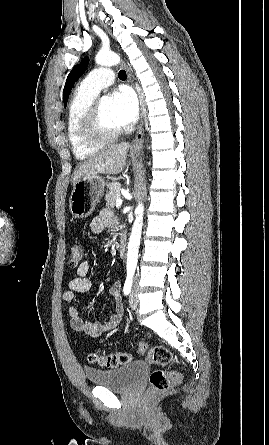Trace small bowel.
Instances as JSON below:
<instances>
[{
	"label": "small bowel",
	"mask_w": 269,
	"mask_h": 445,
	"mask_svg": "<svg viewBox=\"0 0 269 445\" xmlns=\"http://www.w3.org/2000/svg\"><path fill=\"white\" fill-rule=\"evenodd\" d=\"M114 223L115 219L112 211L103 209L92 219L90 229L94 233H100ZM89 271L90 264L87 261L81 262L76 267V276L69 280L68 289L62 293V300L68 305V315L72 329L89 337H99L118 327L123 320L125 308L121 297L122 283L121 281H115L109 289L115 300V313L104 322H87L82 318L80 311L73 305V302L77 293H84L90 290L92 283L88 278Z\"/></svg>",
	"instance_id": "1"
}]
</instances>
